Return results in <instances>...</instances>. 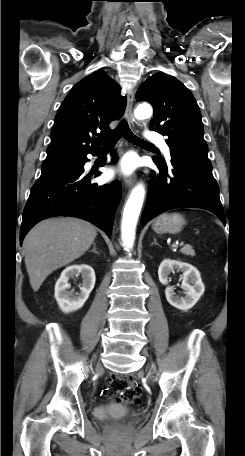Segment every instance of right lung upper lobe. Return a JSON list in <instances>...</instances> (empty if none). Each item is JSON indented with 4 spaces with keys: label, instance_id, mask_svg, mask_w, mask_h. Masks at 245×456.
<instances>
[{
    "label": "right lung upper lobe",
    "instance_id": "right-lung-upper-lobe-1",
    "mask_svg": "<svg viewBox=\"0 0 245 456\" xmlns=\"http://www.w3.org/2000/svg\"><path fill=\"white\" fill-rule=\"evenodd\" d=\"M120 90L111 77L100 72L88 75L71 89L56 114L42 169L74 163L99 150L100 144L92 137L111 132L110 122L124 113L127 99ZM96 129L101 132L97 134Z\"/></svg>",
    "mask_w": 245,
    "mask_h": 456
}]
</instances>
